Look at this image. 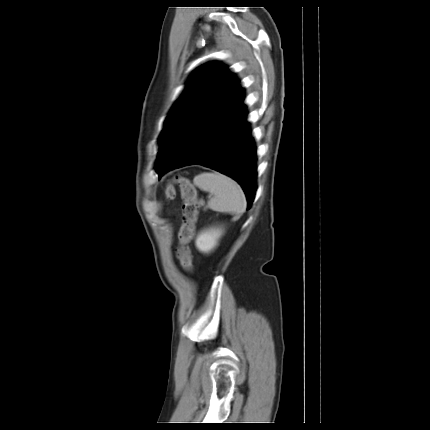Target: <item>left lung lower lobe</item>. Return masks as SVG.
Returning <instances> with one entry per match:
<instances>
[{
    "label": "left lung lower lobe",
    "mask_w": 430,
    "mask_h": 430,
    "mask_svg": "<svg viewBox=\"0 0 430 430\" xmlns=\"http://www.w3.org/2000/svg\"><path fill=\"white\" fill-rule=\"evenodd\" d=\"M246 111L233 118L209 115L196 124L189 138L158 168L164 172L199 164L219 171L243 188L251 207L256 192V146Z\"/></svg>",
    "instance_id": "0a47b994"
}]
</instances>
